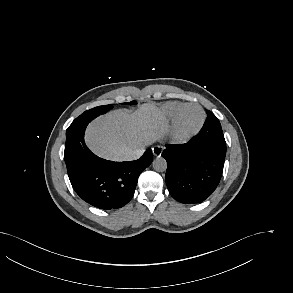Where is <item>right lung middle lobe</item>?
Masks as SVG:
<instances>
[{
	"label": "right lung middle lobe",
	"mask_w": 293,
	"mask_h": 293,
	"mask_svg": "<svg viewBox=\"0 0 293 293\" xmlns=\"http://www.w3.org/2000/svg\"><path fill=\"white\" fill-rule=\"evenodd\" d=\"M128 105L136 104V101H132L129 103H124ZM111 105H104V106H98L93 109L85 111L83 114H81L78 118H76L72 125H78L84 121H91L95 117L99 116L100 114L106 113L110 109Z\"/></svg>",
	"instance_id": "right-lung-middle-lobe-1"
}]
</instances>
